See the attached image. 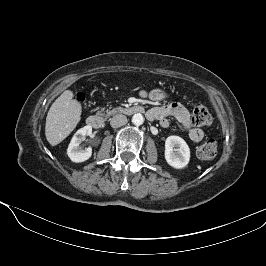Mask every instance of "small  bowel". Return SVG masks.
<instances>
[{
  "instance_id": "c3829d8e",
  "label": "small bowel",
  "mask_w": 266,
  "mask_h": 266,
  "mask_svg": "<svg viewBox=\"0 0 266 266\" xmlns=\"http://www.w3.org/2000/svg\"><path fill=\"white\" fill-rule=\"evenodd\" d=\"M139 96L153 102H161L167 99L168 95L161 89L141 90ZM175 118L180 127L188 131L189 137L194 142L203 139L204 133L201 129L193 127L190 121V113L187 108L178 102H171L163 106L154 107L147 112V118L157 120L163 128H169V118Z\"/></svg>"
}]
</instances>
